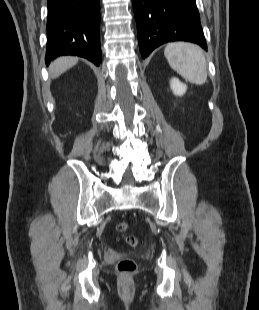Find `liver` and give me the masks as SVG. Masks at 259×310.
I'll return each instance as SVG.
<instances>
[{
	"mask_svg": "<svg viewBox=\"0 0 259 310\" xmlns=\"http://www.w3.org/2000/svg\"><path fill=\"white\" fill-rule=\"evenodd\" d=\"M78 62L76 57H60L49 66L50 76L54 79L73 67Z\"/></svg>",
	"mask_w": 259,
	"mask_h": 310,
	"instance_id": "obj_1",
	"label": "liver"
}]
</instances>
